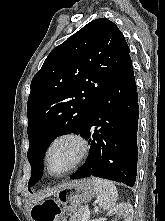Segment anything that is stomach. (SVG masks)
I'll return each mask as SVG.
<instances>
[{"label":"stomach","instance_id":"0dacf381","mask_svg":"<svg viewBox=\"0 0 165 221\" xmlns=\"http://www.w3.org/2000/svg\"><path fill=\"white\" fill-rule=\"evenodd\" d=\"M96 189L90 179L65 183L53 199L36 200L32 217H72L84 203L92 200ZM35 221H72V218H35Z\"/></svg>","mask_w":165,"mask_h":221}]
</instances>
